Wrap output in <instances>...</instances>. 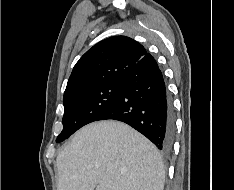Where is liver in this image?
<instances>
[{
    "label": "liver",
    "mask_w": 234,
    "mask_h": 190,
    "mask_svg": "<svg viewBox=\"0 0 234 190\" xmlns=\"http://www.w3.org/2000/svg\"><path fill=\"white\" fill-rule=\"evenodd\" d=\"M57 190H163L165 168L157 148L119 121L77 131L57 156Z\"/></svg>",
    "instance_id": "1"
}]
</instances>
